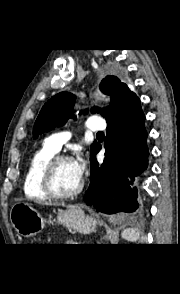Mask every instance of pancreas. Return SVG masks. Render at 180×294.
<instances>
[{"instance_id":"obj_1","label":"pancreas","mask_w":180,"mask_h":294,"mask_svg":"<svg viewBox=\"0 0 180 294\" xmlns=\"http://www.w3.org/2000/svg\"><path fill=\"white\" fill-rule=\"evenodd\" d=\"M66 244H74V243L70 241V242H67Z\"/></svg>"}]
</instances>
